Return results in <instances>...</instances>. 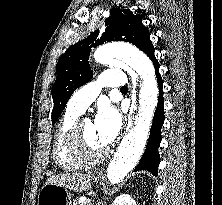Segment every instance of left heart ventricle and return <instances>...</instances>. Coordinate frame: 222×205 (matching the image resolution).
I'll use <instances>...</instances> for the list:
<instances>
[{"mask_svg":"<svg viewBox=\"0 0 222 205\" xmlns=\"http://www.w3.org/2000/svg\"><path fill=\"white\" fill-rule=\"evenodd\" d=\"M82 136L88 153L97 154L106 148V146L99 141L94 125L90 120H85L82 124Z\"/></svg>","mask_w":222,"mask_h":205,"instance_id":"obj_1","label":"left heart ventricle"}]
</instances>
